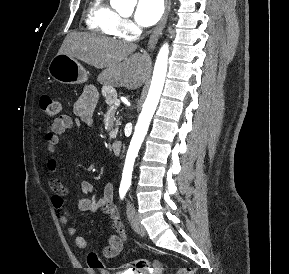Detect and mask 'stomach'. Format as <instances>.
<instances>
[{
    "instance_id": "0dacf381",
    "label": "stomach",
    "mask_w": 289,
    "mask_h": 274,
    "mask_svg": "<svg viewBox=\"0 0 289 274\" xmlns=\"http://www.w3.org/2000/svg\"><path fill=\"white\" fill-rule=\"evenodd\" d=\"M48 73L54 80L63 84H81L87 81V72L73 57L57 54L49 63Z\"/></svg>"
}]
</instances>
